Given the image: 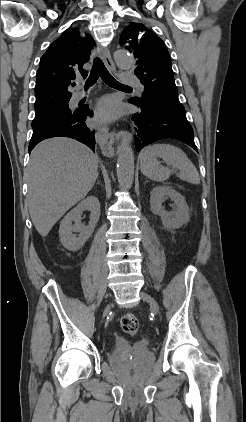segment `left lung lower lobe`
I'll return each mask as SVG.
<instances>
[{
	"label": "left lung lower lobe",
	"instance_id": "0a47b994",
	"mask_svg": "<svg viewBox=\"0 0 246 422\" xmlns=\"http://www.w3.org/2000/svg\"><path fill=\"white\" fill-rule=\"evenodd\" d=\"M129 102L140 108V111L132 117L138 127L135 135L138 152L145 146L164 138L180 140L197 151L193 129L185 111L169 109L155 102H150L148 105H137L132 100Z\"/></svg>",
	"mask_w": 246,
	"mask_h": 422
}]
</instances>
